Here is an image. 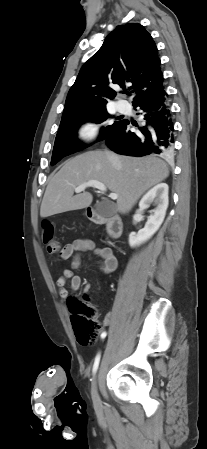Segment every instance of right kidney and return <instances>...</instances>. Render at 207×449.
I'll return each mask as SVG.
<instances>
[{
	"instance_id": "ca27d5eb",
	"label": "right kidney",
	"mask_w": 207,
	"mask_h": 449,
	"mask_svg": "<svg viewBox=\"0 0 207 449\" xmlns=\"http://www.w3.org/2000/svg\"><path fill=\"white\" fill-rule=\"evenodd\" d=\"M168 185L166 183H159L149 190L139 202V209L137 210L133 223L136 224L142 219L143 210L147 209L149 204L154 202L156 208L153 214L148 217L145 227L137 234L131 233L129 236L130 247L138 246L149 240L156 231L160 228L164 221L166 210L168 208Z\"/></svg>"
}]
</instances>
